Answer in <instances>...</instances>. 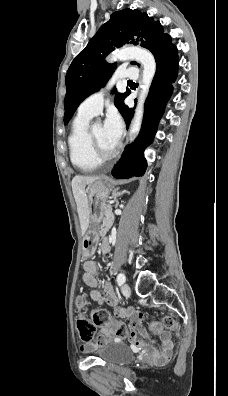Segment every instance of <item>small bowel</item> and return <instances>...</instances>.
Segmentation results:
<instances>
[{
  "label": "small bowel",
  "mask_w": 228,
  "mask_h": 396,
  "mask_svg": "<svg viewBox=\"0 0 228 396\" xmlns=\"http://www.w3.org/2000/svg\"><path fill=\"white\" fill-rule=\"evenodd\" d=\"M101 247L104 253L108 251L109 243L106 239L102 242ZM83 269V281L91 288L89 298L99 305L105 303L111 305L114 308V314L118 318L127 319L129 321L130 340L137 345L147 347L150 351V357L155 364H166L170 360L173 352V342L170 334L166 331H162L159 334L161 343L159 346H156L142 327L143 313L141 311L132 308L118 307V300L109 282L104 284V294L99 291L96 262L93 259L86 260L83 264ZM121 338L122 337L116 335L112 328L101 327L90 341H86L81 345L80 349L83 352H88L104 343L116 341Z\"/></svg>",
  "instance_id": "1"
}]
</instances>
